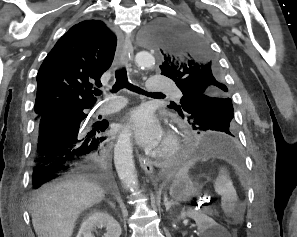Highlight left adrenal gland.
<instances>
[{"label":"left adrenal gland","instance_id":"obj_1","mask_svg":"<svg viewBox=\"0 0 297 237\" xmlns=\"http://www.w3.org/2000/svg\"><path fill=\"white\" fill-rule=\"evenodd\" d=\"M176 203L175 202H173V201H168V199H167V196L165 195L164 196V205H165V208H166V211H169L170 210V208L172 207V206H174Z\"/></svg>","mask_w":297,"mask_h":237}]
</instances>
